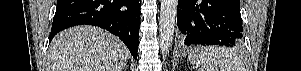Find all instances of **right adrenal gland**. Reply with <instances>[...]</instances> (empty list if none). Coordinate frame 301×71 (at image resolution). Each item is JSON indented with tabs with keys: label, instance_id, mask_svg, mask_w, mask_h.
Returning <instances> with one entry per match:
<instances>
[{
	"label": "right adrenal gland",
	"instance_id": "2a0ac1e0",
	"mask_svg": "<svg viewBox=\"0 0 301 71\" xmlns=\"http://www.w3.org/2000/svg\"><path fill=\"white\" fill-rule=\"evenodd\" d=\"M124 71H127V66L124 68Z\"/></svg>",
	"mask_w": 301,
	"mask_h": 71
}]
</instances>
